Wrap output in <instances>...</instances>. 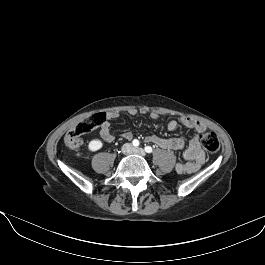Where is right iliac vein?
I'll list each match as a JSON object with an SVG mask.
<instances>
[{
  "instance_id": "63e3f726",
  "label": "right iliac vein",
  "mask_w": 265,
  "mask_h": 265,
  "mask_svg": "<svg viewBox=\"0 0 265 265\" xmlns=\"http://www.w3.org/2000/svg\"><path fill=\"white\" fill-rule=\"evenodd\" d=\"M133 150V147H132V145L131 144H124L123 146H122V152L124 153V154H129L131 151Z\"/></svg>"
}]
</instances>
